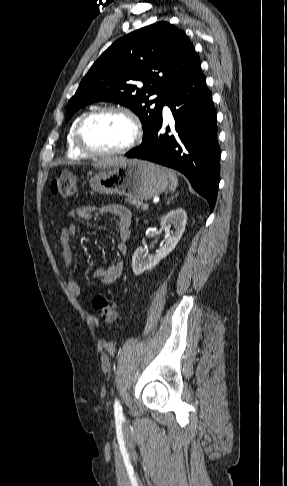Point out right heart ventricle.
Instances as JSON below:
<instances>
[{
    "instance_id": "1",
    "label": "right heart ventricle",
    "mask_w": 287,
    "mask_h": 486,
    "mask_svg": "<svg viewBox=\"0 0 287 486\" xmlns=\"http://www.w3.org/2000/svg\"><path fill=\"white\" fill-rule=\"evenodd\" d=\"M84 115V114H83ZM80 115L78 116L71 124L68 134H67V139H66V146H67V156L69 158L73 159H82L85 158L86 155L83 154L76 146L75 140H74V132H75V127L79 121V119L83 116Z\"/></svg>"
}]
</instances>
